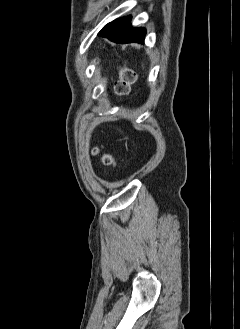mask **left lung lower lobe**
Returning a JSON list of instances; mask_svg holds the SVG:
<instances>
[{"instance_id":"left-lung-lower-lobe-1","label":"left lung lower lobe","mask_w":240,"mask_h":329,"mask_svg":"<svg viewBox=\"0 0 240 329\" xmlns=\"http://www.w3.org/2000/svg\"><path fill=\"white\" fill-rule=\"evenodd\" d=\"M131 16L116 19L103 27L99 36L106 37L116 43H141L144 42L146 30L144 28H133Z\"/></svg>"}]
</instances>
